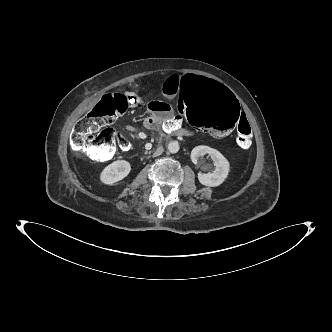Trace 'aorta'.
Here are the masks:
<instances>
[{"label":"aorta","mask_w":332,"mask_h":332,"mask_svg":"<svg viewBox=\"0 0 332 332\" xmlns=\"http://www.w3.org/2000/svg\"><path fill=\"white\" fill-rule=\"evenodd\" d=\"M168 151L172 154L177 153L179 151V144L177 141L170 142L168 144Z\"/></svg>","instance_id":"aorta-1"}]
</instances>
